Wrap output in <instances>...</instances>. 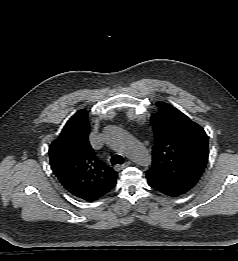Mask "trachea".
<instances>
[{
    "instance_id": "trachea-1",
    "label": "trachea",
    "mask_w": 238,
    "mask_h": 261,
    "mask_svg": "<svg viewBox=\"0 0 238 261\" xmlns=\"http://www.w3.org/2000/svg\"><path fill=\"white\" fill-rule=\"evenodd\" d=\"M123 162H124V159L120 155H113L112 158H111V163L113 165H115V164H123Z\"/></svg>"
}]
</instances>
